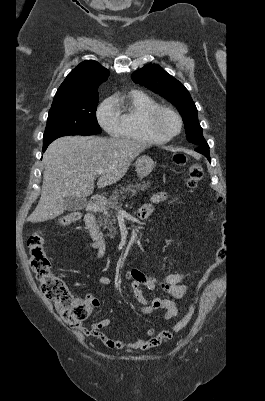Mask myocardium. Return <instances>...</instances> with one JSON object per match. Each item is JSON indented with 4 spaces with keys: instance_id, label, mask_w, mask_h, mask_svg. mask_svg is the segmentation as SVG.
I'll list each match as a JSON object with an SVG mask.
<instances>
[{
    "instance_id": "obj_1",
    "label": "myocardium",
    "mask_w": 265,
    "mask_h": 401,
    "mask_svg": "<svg viewBox=\"0 0 265 401\" xmlns=\"http://www.w3.org/2000/svg\"><path fill=\"white\" fill-rule=\"evenodd\" d=\"M160 113H166V114L173 116L174 118L177 119V121L179 123L178 132L175 135H173L169 138L163 139V140L158 139L155 136L154 129H153L154 120H155L156 116ZM144 126H145L147 133L151 136V139L153 142L166 143V142L172 141L173 139H175L181 135V133L183 131V127H184V122H183L182 116L179 113H177L176 111H174L173 109L166 107V106L157 105L156 107L152 108L151 110H149L146 113L145 118H144Z\"/></svg>"
}]
</instances>
